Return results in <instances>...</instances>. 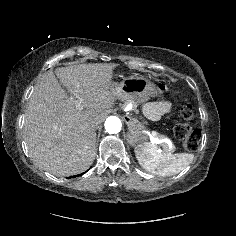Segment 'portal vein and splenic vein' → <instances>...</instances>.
Instances as JSON below:
<instances>
[{
    "mask_svg": "<svg viewBox=\"0 0 236 236\" xmlns=\"http://www.w3.org/2000/svg\"><path fill=\"white\" fill-rule=\"evenodd\" d=\"M75 103H76V107L79 109V110H81L82 109V106H81V102L80 101H75ZM156 132L155 131H153L152 133H150V140H151V142L153 143V144H159V143H161L162 142V140H160V139H158L157 137H156Z\"/></svg>",
    "mask_w": 236,
    "mask_h": 236,
    "instance_id": "1",
    "label": "portal vein and splenic vein"
}]
</instances>
